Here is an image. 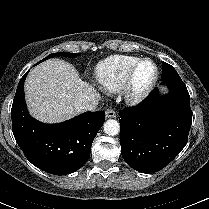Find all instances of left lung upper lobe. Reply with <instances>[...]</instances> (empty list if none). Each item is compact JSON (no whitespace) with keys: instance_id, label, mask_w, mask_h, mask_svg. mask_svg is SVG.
Listing matches in <instances>:
<instances>
[{"instance_id":"1","label":"left lung upper lobe","mask_w":209,"mask_h":209,"mask_svg":"<svg viewBox=\"0 0 209 209\" xmlns=\"http://www.w3.org/2000/svg\"><path fill=\"white\" fill-rule=\"evenodd\" d=\"M173 78H180L178 73L176 72L175 68L171 66L170 64L163 62V69H162V76L161 79L167 80V79H173Z\"/></svg>"}]
</instances>
